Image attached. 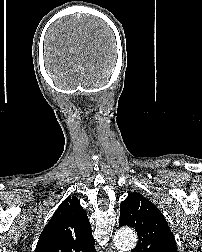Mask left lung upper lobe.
<instances>
[{"label": "left lung upper lobe", "mask_w": 202, "mask_h": 252, "mask_svg": "<svg viewBox=\"0 0 202 252\" xmlns=\"http://www.w3.org/2000/svg\"><path fill=\"white\" fill-rule=\"evenodd\" d=\"M135 228L139 241L132 252H177L175 238L163 214L139 193H130L120 205L119 226Z\"/></svg>", "instance_id": "1"}]
</instances>
